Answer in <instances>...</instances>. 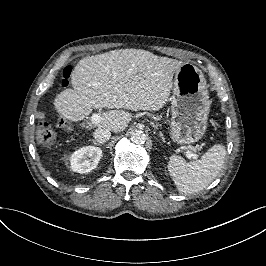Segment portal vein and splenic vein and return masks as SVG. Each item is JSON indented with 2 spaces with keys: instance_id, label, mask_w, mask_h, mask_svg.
<instances>
[{
  "instance_id": "obj_1",
  "label": "portal vein and splenic vein",
  "mask_w": 266,
  "mask_h": 266,
  "mask_svg": "<svg viewBox=\"0 0 266 266\" xmlns=\"http://www.w3.org/2000/svg\"><path fill=\"white\" fill-rule=\"evenodd\" d=\"M91 121L95 124L99 123L100 122V116L97 114V113H93L91 115ZM186 156L188 159H199V156L197 154H194L193 152L189 151L186 153Z\"/></svg>"
}]
</instances>
